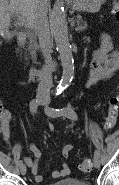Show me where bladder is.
Wrapping results in <instances>:
<instances>
[{"mask_svg":"<svg viewBox=\"0 0 119 185\" xmlns=\"http://www.w3.org/2000/svg\"><path fill=\"white\" fill-rule=\"evenodd\" d=\"M50 185H90V183L80 179L67 178Z\"/></svg>","mask_w":119,"mask_h":185,"instance_id":"obj_1","label":"bladder"}]
</instances>
